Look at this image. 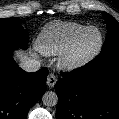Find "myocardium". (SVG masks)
Here are the masks:
<instances>
[{
    "instance_id": "1",
    "label": "myocardium",
    "mask_w": 119,
    "mask_h": 119,
    "mask_svg": "<svg viewBox=\"0 0 119 119\" xmlns=\"http://www.w3.org/2000/svg\"><path fill=\"white\" fill-rule=\"evenodd\" d=\"M90 31H96L99 35V42L97 47L92 52L84 56H77L76 48L79 42ZM103 44H104V37L101 30L95 26H88L75 36L70 45L61 54L59 60L60 65L67 70L79 69L87 65L89 62H91L101 52Z\"/></svg>"
}]
</instances>
